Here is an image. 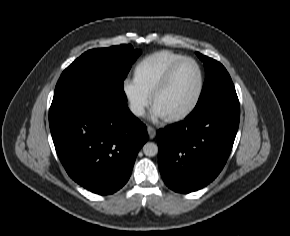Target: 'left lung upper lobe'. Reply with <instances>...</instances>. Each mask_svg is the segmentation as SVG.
<instances>
[{
  "mask_svg": "<svg viewBox=\"0 0 290 236\" xmlns=\"http://www.w3.org/2000/svg\"><path fill=\"white\" fill-rule=\"evenodd\" d=\"M204 62L206 78L199 100L194 110H198L222 95L235 91L233 82L222 64L196 52Z\"/></svg>",
  "mask_w": 290,
  "mask_h": 236,
  "instance_id": "1",
  "label": "left lung upper lobe"
}]
</instances>
